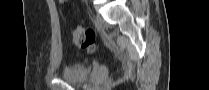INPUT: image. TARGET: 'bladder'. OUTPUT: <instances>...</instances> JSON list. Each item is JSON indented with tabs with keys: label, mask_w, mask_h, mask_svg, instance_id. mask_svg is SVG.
Returning a JSON list of instances; mask_svg holds the SVG:
<instances>
[{
	"label": "bladder",
	"mask_w": 209,
	"mask_h": 90,
	"mask_svg": "<svg viewBox=\"0 0 209 90\" xmlns=\"http://www.w3.org/2000/svg\"><path fill=\"white\" fill-rule=\"evenodd\" d=\"M89 76L88 68L79 63L66 64L62 70V77L69 82H82Z\"/></svg>",
	"instance_id": "obj_1"
}]
</instances>
